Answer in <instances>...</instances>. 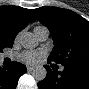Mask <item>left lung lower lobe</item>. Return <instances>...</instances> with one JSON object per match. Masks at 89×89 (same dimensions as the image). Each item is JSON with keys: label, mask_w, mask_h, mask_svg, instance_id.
Instances as JSON below:
<instances>
[{"label": "left lung lower lobe", "mask_w": 89, "mask_h": 89, "mask_svg": "<svg viewBox=\"0 0 89 89\" xmlns=\"http://www.w3.org/2000/svg\"><path fill=\"white\" fill-rule=\"evenodd\" d=\"M47 76L39 89H89V67H64L62 72L45 66Z\"/></svg>", "instance_id": "1"}]
</instances>
